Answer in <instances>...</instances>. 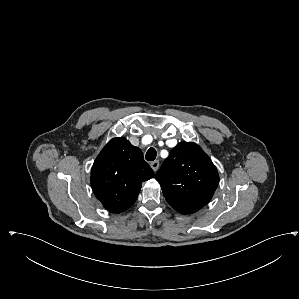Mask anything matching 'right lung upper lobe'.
Segmentation results:
<instances>
[{
	"label": "right lung upper lobe",
	"instance_id": "cb5924a9",
	"mask_svg": "<svg viewBox=\"0 0 299 299\" xmlns=\"http://www.w3.org/2000/svg\"><path fill=\"white\" fill-rule=\"evenodd\" d=\"M152 177L154 172L142 151L125 138H114L93 164L91 186L107 210L121 213L134 204L142 182Z\"/></svg>",
	"mask_w": 299,
	"mask_h": 299
}]
</instances>
